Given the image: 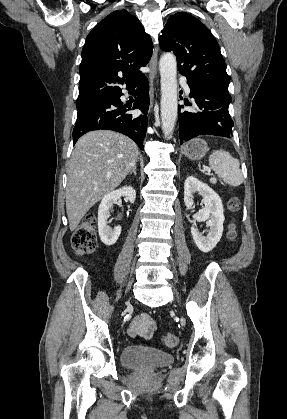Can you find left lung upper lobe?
Returning a JSON list of instances; mask_svg holds the SVG:
<instances>
[{
  "instance_id": "left-lung-upper-lobe-1",
  "label": "left lung upper lobe",
  "mask_w": 287,
  "mask_h": 419,
  "mask_svg": "<svg viewBox=\"0 0 287 419\" xmlns=\"http://www.w3.org/2000/svg\"><path fill=\"white\" fill-rule=\"evenodd\" d=\"M159 41L162 50L174 52L178 70L189 83L228 90L231 77L219 45L195 17L185 12L170 16Z\"/></svg>"
}]
</instances>
